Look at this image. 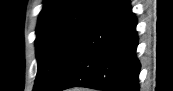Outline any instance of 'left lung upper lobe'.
<instances>
[{"label":"left lung upper lobe","instance_id":"5c2ea615","mask_svg":"<svg viewBox=\"0 0 173 91\" xmlns=\"http://www.w3.org/2000/svg\"><path fill=\"white\" fill-rule=\"evenodd\" d=\"M115 0H45L36 28L34 91H50L75 51Z\"/></svg>","mask_w":173,"mask_h":91}]
</instances>
